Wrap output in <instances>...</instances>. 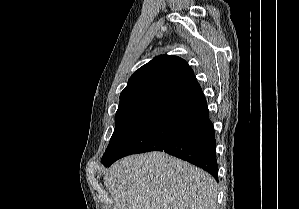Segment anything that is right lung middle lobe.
Here are the masks:
<instances>
[{"label":"right lung middle lobe","instance_id":"1","mask_svg":"<svg viewBox=\"0 0 299 209\" xmlns=\"http://www.w3.org/2000/svg\"><path fill=\"white\" fill-rule=\"evenodd\" d=\"M159 105L154 102H142L120 106L115 116L114 133L101 162L105 163L114 158L136 135Z\"/></svg>","mask_w":299,"mask_h":209}]
</instances>
